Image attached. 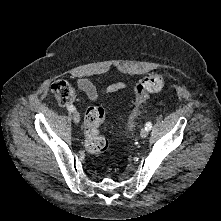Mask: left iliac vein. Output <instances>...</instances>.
I'll list each match as a JSON object with an SVG mask.
<instances>
[{
	"instance_id": "4c4485c4",
	"label": "left iliac vein",
	"mask_w": 221,
	"mask_h": 221,
	"mask_svg": "<svg viewBox=\"0 0 221 221\" xmlns=\"http://www.w3.org/2000/svg\"><path fill=\"white\" fill-rule=\"evenodd\" d=\"M140 136L141 138H146L148 136V130L146 128H142Z\"/></svg>"
}]
</instances>
